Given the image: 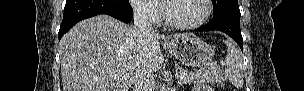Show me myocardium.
<instances>
[{"mask_svg": "<svg viewBox=\"0 0 304 91\" xmlns=\"http://www.w3.org/2000/svg\"><path fill=\"white\" fill-rule=\"evenodd\" d=\"M171 1H176V0H167L162 2V7H163V12H164V19L167 25L170 27L176 28V29H183V30H188V29H194L202 26L210 17L212 13V1L211 0H201L205 6V12L203 16L192 23H180L177 21H174L168 11V3Z\"/></svg>", "mask_w": 304, "mask_h": 91, "instance_id": "obj_1", "label": "myocardium"}]
</instances>
